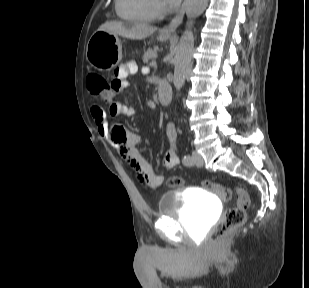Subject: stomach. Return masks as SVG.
<instances>
[{
	"instance_id": "1",
	"label": "stomach",
	"mask_w": 309,
	"mask_h": 288,
	"mask_svg": "<svg viewBox=\"0 0 309 288\" xmlns=\"http://www.w3.org/2000/svg\"><path fill=\"white\" fill-rule=\"evenodd\" d=\"M170 36L159 35V41ZM86 58L91 66L100 71H109L122 60V45L119 37L108 31H96L89 39Z\"/></svg>"
}]
</instances>
